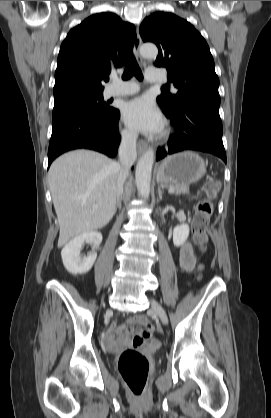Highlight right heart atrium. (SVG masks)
<instances>
[{"mask_svg":"<svg viewBox=\"0 0 271 418\" xmlns=\"http://www.w3.org/2000/svg\"><path fill=\"white\" fill-rule=\"evenodd\" d=\"M121 136H122V142L125 146L132 147L134 145L135 137H134L133 133L124 129L121 132Z\"/></svg>","mask_w":271,"mask_h":418,"instance_id":"d8ad5b80","label":"right heart atrium"}]
</instances>
